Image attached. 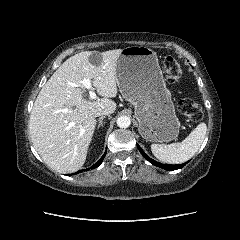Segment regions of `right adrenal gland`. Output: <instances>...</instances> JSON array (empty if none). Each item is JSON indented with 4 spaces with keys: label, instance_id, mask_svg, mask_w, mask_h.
Segmentation results:
<instances>
[{
    "label": "right adrenal gland",
    "instance_id": "2a0ac1e0",
    "mask_svg": "<svg viewBox=\"0 0 240 240\" xmlns=\"http://www.w3.org/2000/svg\"><path fill=\"white\" fill-rule=\"evenodd\" d=\"M105 118V116H101L100 118H99V120H98V126H97V128L99 129L101 126H103V119Z\"/></svg>",
    "mask_w": 240,
    "mask_h": 240
}]
</instances>
